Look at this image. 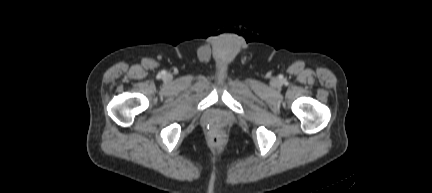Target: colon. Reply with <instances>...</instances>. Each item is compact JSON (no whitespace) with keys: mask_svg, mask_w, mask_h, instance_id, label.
Listing matches in <instances>:
<instances>
[{"mask_svg":"<svg viewBox=\"0 0 432 193\" xmlns=\"http://www.w3.org/2000/svg\"><path fill=\"white\" fill-rule=\"evenodd\" d=\"M222 140H223V136L221 134H216V135L213 136V142L215 144L221 143Z\"/></svg>","mask_w":432,"mask_h":193,"instance_id":"1","label":"colon"}]
</instances>
